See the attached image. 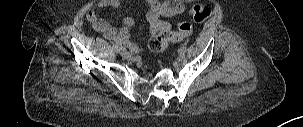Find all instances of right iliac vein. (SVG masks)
<instances>
[{"mask_svg":"<svg viewBox=\"0 0 303 127\" xmlns=\"http://www.w3.org/2000/svg\"><path fill=\"white\" fill-rule=\"evenodd\" d=\"M120 54L124 59H127V60L132 59L131 55L126 50L121 51Z\"/></svg>","mask_w":303,"mask_h":127,"instance_id":"obj_1","label":"right iliac vein"}]
</instances>
